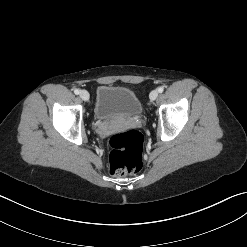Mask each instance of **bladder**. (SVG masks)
I'll use <instances>...</instances> for the list:
<instances>
[{"mask_svg": "<svg viewBox=\"0 0 247 247\" xmlns=\"http://www.w3.org/2000/svg\"><path fill=\"white\" fill-rule=\"evenodd\" d=\"M142 111L141 100L130 88L115 85L98 87L94 105L97 120L133 118L140 116Z\"/></svg>", "mask_w": 247, "mask_h": 247, "instance_id": "obj_1", "label": "bladder"}]
</instances>
